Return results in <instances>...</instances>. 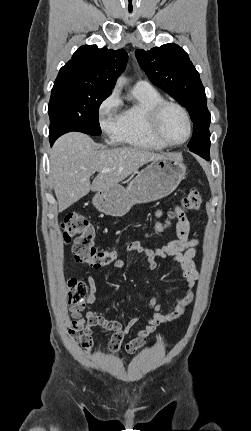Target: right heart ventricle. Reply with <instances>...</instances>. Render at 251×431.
<instances>
[{"instance_id":"1","label":"right heart ventricle","mask_w":251,"mask_h":431,"mask_svg":"<svg viewBox=\"0 0 251 431\" xmlns=\"http://www.w3.org/2000/svg\"><path fill=\"white\" fill-rule=\"evenodd\" d=\"M135 103L120 113L119 124L114 139L120 143L149 150H162L166 146L158 142L148 128L150 108L162 100L160 93L153 87L133 88Z\"/></svg>"}]
</instances>
